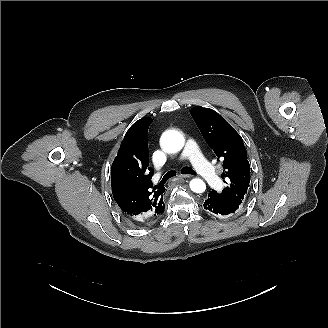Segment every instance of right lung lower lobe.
<instances>
[{"mask_svg":"<svg viewBox=\"0 0 328 328\" xmlns=\"http://www.w3.org/2000/svg\"><path fill=\"white\" fill-rule=\"evenodd\" d=\"M123 216L127 219L126 215H123ZM127 220L134 224L133 220H131V219H127Z\"/></svg>","mask_w":328,"mask_h":328,"instance_id":"obj_1","label":"right lung lower lobe"}]
</instances>
